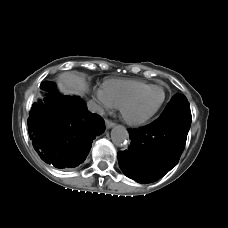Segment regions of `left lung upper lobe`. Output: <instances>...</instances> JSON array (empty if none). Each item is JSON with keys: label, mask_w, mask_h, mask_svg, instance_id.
I'll use <instances>...</instances> for the list:
<instances>
[{"label": "left lung upper lobe", "mask_w": 228, "mask_h": 228, "mask_svg": "<svg viewBox=\"0 0 228 228\" xmlns=\"http://www.w3.org/2000/svg\"><path fill=\"white\" fill-rule=\"evenodd\" d=\"M162 114L177 115L182 118L191 117L190 105L187 98L182 94L174 95Z\"/></svg>", "instance_id": "1"}]
</instances>
